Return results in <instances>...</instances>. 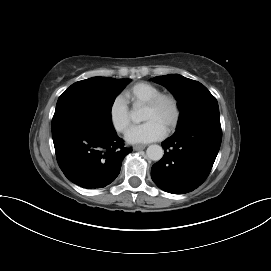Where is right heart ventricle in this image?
I'll list each match as a JSON object with an SVG mask.
<instances>
[{
	"label": "right heart ventricle",
	"mask_w": 271,
	"mask_h": 271,
	"mask_svg": "<svg viewBox=\"0 0 271 271\" xmlns=\"http://www.w3.org/2000/svg\"><path fill=\"white\" fill-rule=\"evenodd\" d=\"M159 93L161 90L154 84L139 82L124 92V98L133 105H143Z\"/></svg>",
	"instance_id": "e07e8e85"
}]
</instances>
